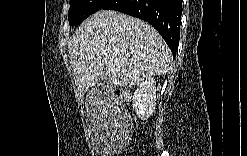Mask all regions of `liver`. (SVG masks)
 Wrapping results in <instances>:
<instances>
[{"label":"liver","mask_w":247,"mask_h":156,"mask_svg":"<svg viewBox=\"0 0 247 156\" xmlns=\"http://www.w3.org/2000/svg\"><path fill=\"white\" fill-rule=\"evenodd\" d=\"M73 77L85 93L100 77L131 87L169 71L172 55L161 35L148 23L114 10L85 20L68 42Z\"/></svg>","instance_id":"6515ba94"}]
</instances>
